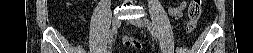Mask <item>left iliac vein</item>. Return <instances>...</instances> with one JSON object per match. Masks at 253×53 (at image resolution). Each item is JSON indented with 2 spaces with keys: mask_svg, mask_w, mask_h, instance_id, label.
Returning a JSON list of instances; mask_svg holds the SVG:
<instances>
[{
  "mask_svg": "<svg viewBox=\"0 0 253 53\" xmlns=\"http://www.w3.org/2000/svg\"><path fill=\"white\" fill-rule=\"evenodd\" d=\"M131 23L137 27H144L145 23L141 18H134L131 20Z\"/></svg>",
  "mask_w": 253,
  "mask_h": 53,
  "instance_id": "obj_1",
  "label": "left iliac vein"
}]
</instances>
